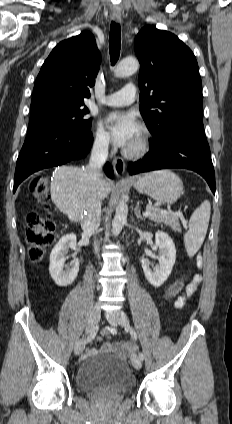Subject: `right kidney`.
<instances>
[{"mask_svg": "<svg viewBox=\"0 0 232 424\" xmlns=\"http://www.w3.org/2000/svg\"><path fill=\"white\" fill-rule=\"evenodd\" d=\"M76 242L74 234H67L59 240L51 251L49 272L58 286L65 287L72 284L78 275L79 260L75 258V254L70 266L65 265L68 249L75 250Z\"/></svg>", "mask_w": 232, "mask_h": 424, "instance_id": "1", "label": "right kidney"}]
</instances>
